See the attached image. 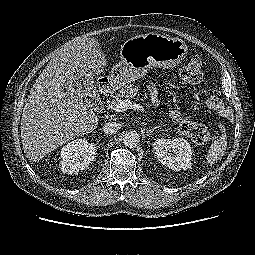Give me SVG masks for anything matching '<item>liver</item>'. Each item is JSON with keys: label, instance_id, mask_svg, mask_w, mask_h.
<instances>
[{"label": "liver", "instance_id": "obj_1", "mask_svg": "<svg viewBox=\"0 0 255 255\" xmlns=\"http://www.w3.org/2000/svg\"><path fill=\"white\" fill-rule=\"evenodd\" d=\"M142 35L135 34L134 36ZM106 66L97 38L69 41L49 61L30 90L21 118V140L31 161L92 132L97 124L91 100L75 87L79 69L99 75Z\"/></svg>", "mask_w": 255, "mask_h": 255}]
</instances>
